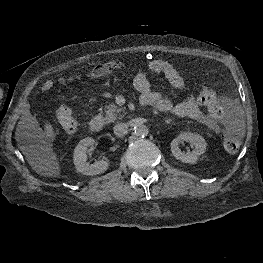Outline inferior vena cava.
Returning <instances> with one entry per match:
<instances>
[{"instance_id":"602c4592","label":"inferior vena cava","mask_w":263,"mask_h":263,"mask_svg":"<svg viewBox=\"0 0 263 263\" xmlns=\"http://www.w3.org/2000/svg\"><path fill=\"white\" fill-rule=\"evenodd\" d=\"M114 134L117 137H123L128 133V125L126 123H118L114 126Z\"/></svg>"}]
</instances>
